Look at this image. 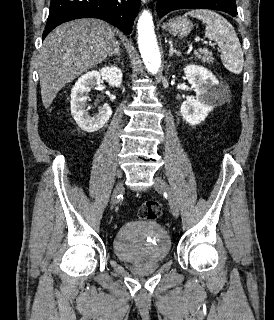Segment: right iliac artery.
Here are the masks:
<instances>
[{
    "mask_svg": "<svg viewBox=\"0 0 274 320\" xmlns=\"http://www.w3.org/2000/svg\"><path fill=\"white\" fill-rule=\"evenodd\" d=\"M118 198H122V196H121V195H119V196H118Z\"/></svg>",
    "mask_w": 274,
    "mask_h": 320,
    "instance_id": "1",
    "label": "right iliac artery"
}]
</instances>
